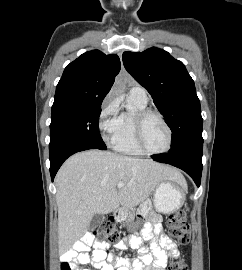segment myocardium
Returning a JSON list of instances; mask_svg holds the SVG:
<instances>
[{"label": "myocardium", "instance_id": "1", "mask_svg": "<svg viewBox=\"0 0 242 270\" xmlns=\"http://www.w3.org/2000/svg\"><path fill=\"white\" fill-rule=\"evenodd\" d=\"M152 117L159 119L167 130V134H168L167 146L165 149H163L161 151H152V150L148 149L147 146L145 145V142H144L145 125H146L147 121ZM134 132H135L136 144H137L138 148L144 154L162 155V154L168 153L172 147V144H173L172 129H171L170 125L168 124V122L166 121V119L163 117V115L157 111L146 109V110L138 112L135 116V119H134Z\"/></svg>", "mask_w": 242, "mask_h": 270}]
</instances>
